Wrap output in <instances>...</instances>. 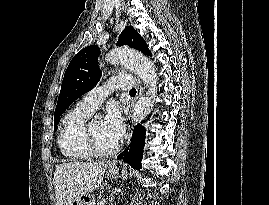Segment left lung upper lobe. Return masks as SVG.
<instances>
[{
	"instance_id": "5c2ea615",
	"label": "left lung upper lobe",
	"mask_w": 269,
	"mask_h": 205,
	"mask_svg": "<svg viewBox=\"0 0 269 205\" xmlns=\"http://www.w3.org/2000/svg\"><path fill=\"white\" fill-rule=\"evenodd\" d=\"M128 45L151 56L144 39L132 26H126L122 31L117 46ZM100 49L96 45L88 46L79 51L68 65L63 78L61 91L54 113V130L63 112L80 96L92 89L102 75L97 59Z\"/></svg>"
}]
</instances>
